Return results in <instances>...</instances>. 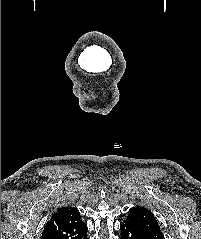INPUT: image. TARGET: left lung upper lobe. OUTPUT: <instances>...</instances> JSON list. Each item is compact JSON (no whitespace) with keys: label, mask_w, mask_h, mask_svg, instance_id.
Masks as SVG:
<instances>
[{"label":"left lung upper lobe","mask_w":201,"mask_h":239,"mask_svg":"<svg viewBox=\"0 0 201 239\" xmlns=\"http://www.w3.org/2000/svg\"><path fill=\"white\" fill-rule=\"evenodd\" d=\"M125 222L136 225L152 239H164L153 213L146 208L132 207L128 211V216Z\"/></svg>","instance_id":"obj_1"}]
</instances>
